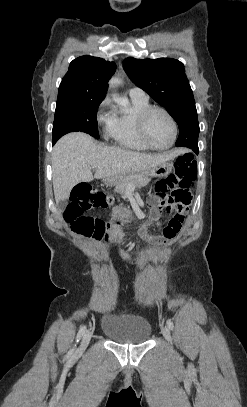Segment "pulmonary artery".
I'll list each match as a JSON object with an SVG mask.
<instances>
[{"label": "pulmonary artery", "mask_w": 247, "mask_h": 407, "mask_svg": "<svg viewBox=\"0 0 247 407\" xmlns=\"http://www.w3.org/2000/svg\"><path fill=\"white\" fill-rule=\"evenodd\" d=\"M129 95L131 98L148 99V95L145 93V91L138 87H132L129 90Z\"/></svg>", "instance_id": "obj_1"}]
</instances>
